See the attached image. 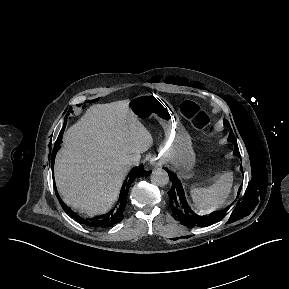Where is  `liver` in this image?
I'll return each mask as SVG.
<instances>
[{"label": "liver", "instance_id": "1", "mask_svg": "<svg viewBox=\"0 0 289 289\" xmlns=\"http://www.w3.org/2000/svg\"><path fill=\"white\" fill-rule=\"evenodd\" d=\"M129 100L96 104L63 136L54 176L65 204L88 215L109 211L131 166L153 144Z\"/></svg>", "mask_w": 289, "mask_h": 289}]
</instances>
